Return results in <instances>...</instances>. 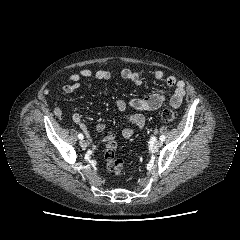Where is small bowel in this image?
Listing matches in <instances>:
<instances>
[{
    "mask_svg": "<svg viewBox=\"0 0 240 240\" xmlns=\"http://www.w3.org/2000/svg\"><path fill=\"white\" fill-rule=\"evenodd\" d=\"M121 78L131 82L135 86H140L143 83V76L141 73L136 72L130 68H124L120 72ZM152 78L156 80L164 79L165 75L162 70H155L151 74ZM112 74L107 70L91 71L88 68H81L78 71L72 73L68 77V82L63 86L62 90L66 94H70L77 90L81 85L83 78H94L98 81H106L111 79ZM165 82L169 87L174 88L173 94L169 98V104L173 108H179L186 93V85L184 81L178 80L175 76H167ZM167 97L162 93H152L142 98H134L129 101L119 99L116 101L117 109L125 116L126 120L139 129H143L146 124V118L141 113L142 111H153L159 109L165 102ZM53 112L57 117H60L63 113L61 105L56 102L53 107ZM72 120L76 123L82 131L88 136V128L84 123L82 117L78 113L72 115ZM106 129V125L103 122H99L96 125V131L101 133ZM122 136L125 139H129L133 136L132 128H125L122 131ZM108 137H114L109 135Z\"/></svg>",
    "mask_w": 240,
    "mask_h": 240,
    "instance_id": "1",
    "label": "small bowel"
}]
</instances>
